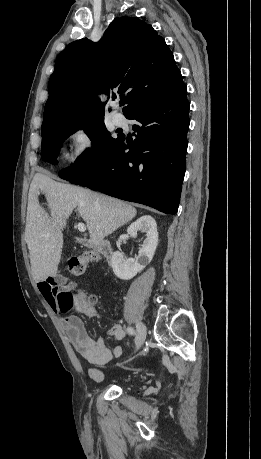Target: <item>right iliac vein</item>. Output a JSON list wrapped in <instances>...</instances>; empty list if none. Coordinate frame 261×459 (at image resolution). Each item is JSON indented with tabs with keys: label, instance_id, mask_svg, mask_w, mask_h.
<instances>
[{
	"label": "right iliac vein",
	"instance_id": "1",
	"mask_svg": "<svg viewBox=\"0 0 261 459\" xmlns=\"http://www.w3.org/2000/svg\"><path fill=\"white\" fill-rule=\"evenodd\" d=\"M136 328H137V338H136V349H140L145 341L146 338V326L138 321L136 323Z\"/></svg>",
	"mask_w": 261,
	"mask_h": 459
}]
</instances>
